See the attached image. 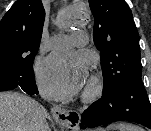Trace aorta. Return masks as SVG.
<instances>
[{"instance_id": "762f6f07", "label": "aorta", "mask_w": 151, "mask_h": 131, "mask_svg": "<svg viewBox=\"0 0 151 131\" xmlns=\"http://www.w3.org/2000/svg\"><path fill=\"white\" fill-rule=\"evenodd\" d=\"M78 22L77 21H74V20H70V21H67L66 22V26H73V25H76Z\"/></svg>"}]
</instances>
